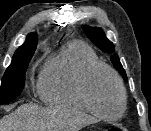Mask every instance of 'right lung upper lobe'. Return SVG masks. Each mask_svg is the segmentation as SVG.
Listing matches in <instances>:
<instances>
[{
  "label": "right lung upper lobe",
  "instance_id": "obj_1",
  "mask_svg": "<svg viewBox=\"0 0 151 131\" xmlns=\"http://www.w3.org/2000/svg\"><path fill=\"white\" fill-rule=\"evenodd\" d=\"M37 42H38L37 34L36 33H30V34H28L25 43L21 47L31 46V45L37 44Z\"/></svg>",
  "mask_w": 151,
  "mask_h": 131
}]
</instances>
